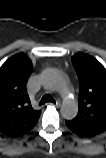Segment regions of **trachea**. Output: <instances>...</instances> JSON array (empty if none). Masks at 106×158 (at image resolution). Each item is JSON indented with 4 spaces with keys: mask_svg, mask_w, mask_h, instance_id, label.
<instances>
[{
    "mask_svg": "<svg viewBox=\"0 0 106 158\" xmlns=\"http://www.w3.org/2000/svg\"><path fill=\"white\" fill-rule=\"evenodd\" d=\"M46 102H53V103H55V99L51 95L46 94V95H44L42 97V99L40 101V104L42 105V104H44Z\"/></svg>",
    "mask_w": 106,
    "mask_h": 158,
    "instance_id": "trachea-1",
    "label": "trachea"
}]
</instances>
